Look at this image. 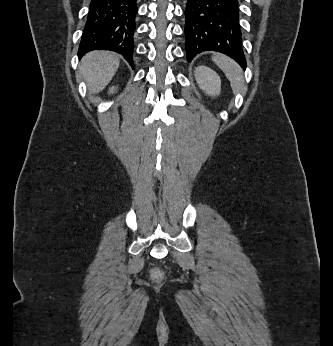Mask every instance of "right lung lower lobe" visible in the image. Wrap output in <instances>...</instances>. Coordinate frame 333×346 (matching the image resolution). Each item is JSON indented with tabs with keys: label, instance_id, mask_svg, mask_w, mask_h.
<instances>
[{
	"label": "right lung lower lobe",
	"instance_id": "right-lung-lower-lobe-1",
	"mask_svg": "<svg viewBox=\"0 0 333 346\" xmlns=\"http://www.w3.org/2000/svg\"><path fill=\"white\" fill-rule=\"evenodd\" d=\"M136 0H91L78 56L92 50L115 51L133 67Z\"/></svg>",
	"mask_w": 333,
	"mask_h": 346
}]
</instances>
